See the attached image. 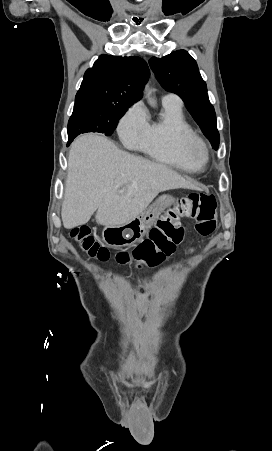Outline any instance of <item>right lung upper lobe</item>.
Wrapping results in <instances>:
<instances>
[{"mask_svg":"<svg viewBox=\"0 0 272 451\" xmlns=\"http://www.w3.org/2000/svg\"><path fill=\"white\" fill-rule=\"evenodd\" d=\"M149 74L147 63L140 57L101 55L85 72L75 104L130 107L142 98Z\"/></svg>","mask_w":272,"mask_h":451,"instance_id":"right-lung-upper-lobe-1","label":"right lung upper lobe"}]
</instances>
